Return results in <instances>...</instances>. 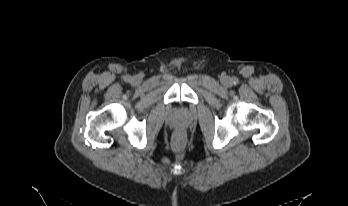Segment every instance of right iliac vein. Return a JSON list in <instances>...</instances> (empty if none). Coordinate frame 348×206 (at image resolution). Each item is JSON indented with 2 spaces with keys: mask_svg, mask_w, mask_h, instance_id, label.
Returning <instances> with one entry per match:
<instances>
[{
  "mask_svg": "<svg viewBox=\"0 0 348 206\" xmlns=\"http://www.w3.org/2000/svg\"><path fill=\"white\" fill-rule=\"evenodd\" d=\"M132 82L133 84L138 85L140 83V78L135 77Z\"/></svg>",
  "mask_w": 348,
  "mask_h": 206,
  "instance_id": "right-iliac-vein-1",
  "label": "right iliac vein"
}]
</instances>
